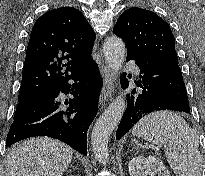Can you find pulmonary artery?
<instances>
[{
    "mask_svg": "<svg viewBox=\"0 0 205 176\" xmlns=\"http://www.w3.org/2000/svg\"><path fill=\"white\" fill-rule=\"evenodd\" d=\"M125 69L133 72L137 76L141 75L138 66L131 64L127 61H125Z\"/></svg>",
    "mask_w": 205,
    "mask_h": 176,
    "instance_id": "obj_1",
    "label": "pulmonary artery"
}]
</instances>
